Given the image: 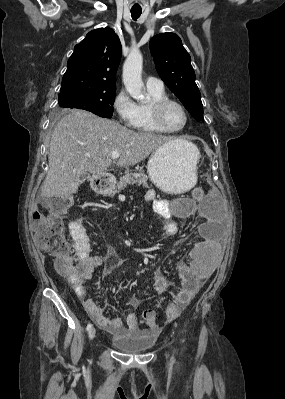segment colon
<instances>
[{"mask_svg":"<svg viewBox=\"0 0 285 399\" xmlns=\"http://www.w3.org/2000/svg\"><path fill=\"white\" fill-rule=\"evenodd\" d=\"M191 195L194 199L199 200L205 196V192L201 187H195L192 189ZM57 206L62 211L71 208L72 202L70 200H61ZM29 228L40 250L55 258L59 271L64 275L77 278L79 276V271L75 266V256L64 240V224L61 217L57 213L44 214L42 212H36L30 219ZM79 233L81 235L79 240L80 255L88 256L89 245L82 226ZM179 313L180 307L175 304H170L166 308V315L168 318L173 319L177 317ZM141 319L143 324L147 327L158 326L156 312L154 310H144Z\"/></svg>","mask_w":285,"mask_h":399,"instance_id":"1","label":"colon"}]
</instances>
